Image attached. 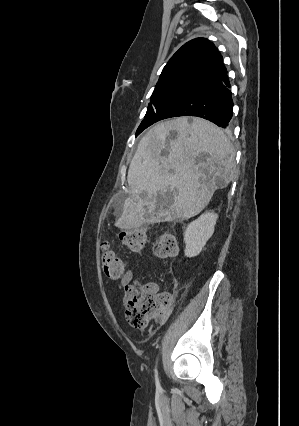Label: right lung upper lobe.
I'll return each mask as SVG.
<instances>
[{
  "label": "right lung upper lobe",
  "mask_w": 299,
  "mask_h": 426,
  "mask_svg": "<svg viewBox=\"0 0 299 426\" xmlns=\"http://www.w3.org/2000/svg\"><path fill=\"white\" fill-rule=\"evenodd\" d=\"M227 73L213 43L196 38L184 44L164 67L156 86L185 83L200 86Z\"/></svg>",
  "instance_id": "right-lung-upper-lobe-1"
}]
</instances>
